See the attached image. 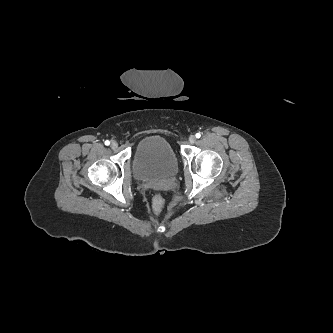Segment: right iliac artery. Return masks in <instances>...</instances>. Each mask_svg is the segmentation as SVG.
<instances>
[{
  "label": "right iliac artery",
  "mask_w": 333,
  "mask_h": 333,
  "mask_svg": "<svg viewBox=\"0 0 333 333\" xmlns=\"http://www.w3.org/2000/svg\"><path fill=\"white\" fill-rule=\"evenodd\" d=\"M109 144H110V141L106 140V141H105V145L108 146Z\"/></svg>",
  "instance_id": "obj_1"
}]
</instances>
